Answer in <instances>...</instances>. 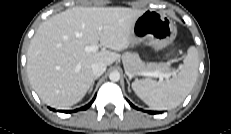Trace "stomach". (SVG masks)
<instances>
[{"mask_svg": "<svg viewBox=\"0 0 231 134\" xmlns=\"http://www.w3.org/2000/svg\"><path fill=\"white\" fill-rule=\"evenodd\" d=\"M175 24L155 10L144 11L133 23L130 44L148 42L155 49H162L176 38Z\"/></svg>", "mask_w": 231, "mask_h": 134, "instance_id": "stomach-1", "label": "stomach"}]
</instances>
